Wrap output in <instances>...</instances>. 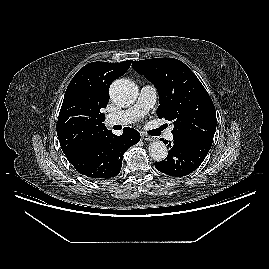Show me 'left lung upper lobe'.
Masks as SVG:
<instances>
[{
    "instance_id": "obj_1",
    "label": "left lung upper lobe",
    "mask_w": 269,
    "mask_h": 269,
    "mask_svg": "<svg viewBox=\"0 0 269 269\" xmlns=\"http://www.w3.org/2000/svg\"><path fill=\"white\" fill-rule=\"evenodd\" d=\"M132 67L156 86L160 102L157 115L174 124L173 137L213 140L215 106L187 65L173 58H154L134 61Z\"/></svg>"
}]
</instances>
